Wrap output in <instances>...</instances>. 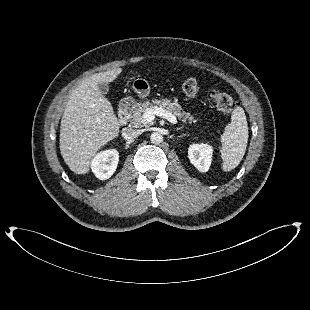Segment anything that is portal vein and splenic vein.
Masks as SVG:
<instances>
[{
	"instance_id": "1",
	"label": "portal vein and splenic vein",
	"mask_w": 310,
	"mask_h": 310,
	"mask_svg": "<svg viewBox=\"0 0 310 310\" xmlns=\"http://www.w3.org/2000/svg\"><path fill=\"white\" fill-rule=\"evenodd\" d=\"M155 116L165 118L172 124L177 123L176 116L161 107L150 108L143 114L144 121L147 123H151L155 119Z\"/></svg>"
}]
</instances>
